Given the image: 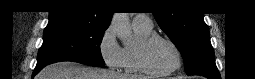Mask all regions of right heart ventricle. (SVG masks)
Returning a JSON list of instances; mask_svg holds the SVG:
<instances>
[{
	"label": "right heart ventricle",
	"instance_id": "e07e8e85",
	"mask_svg": "<svg viewBox=\"0 0 255 79\" xmlns=\"http://www.w3.org/2000/svg\"><path fill=\"white\" fill-rule=\"evenodd\" d=\"M133 29L136 37V44L123 48V68L127 74H140L142 71L137 63V49L139 44L152 34V28L147 29L133 26Z\"/></svg>",
	"mask_w": 255,
	"mask_h": 79
}]
</instances>
